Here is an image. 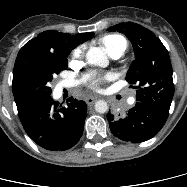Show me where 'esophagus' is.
<instances>
[{"mask_svg": "<svg viewBox=\"0 0 187 187\" xmlns=\"http://www.w3.org/2000/svg\"><path fill=\"white\" fill-rule=\"evenodd\" d=\"M96 100H97V98H95V97H89L85 101H86L87 105L91 106L95 103Z\"/></svg>", "mask_w": 187, "mask_h": 187, "instance_id": "34e87169", "label": "esophagus"}]
</instances>
